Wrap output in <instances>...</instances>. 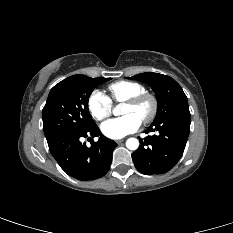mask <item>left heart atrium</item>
Segmentation results:
<instances>
[{
	"label": "left heart atrium",
	"instance_id": "obj_1",
	"mask_svg": "<svg viewBox=\"0 0 233 233\" xmlns=\"http://www.w3.org/2000/svg\"><path fill=\"white\" fill-rule=\"evenodd\" d=\"M141 125V120L132 114L113 118L101 125L102 133L110 139H121L136 132Z\"/></svg>",
	"mask_w": 233,
	"mask_h": 233
}]
</instances>
